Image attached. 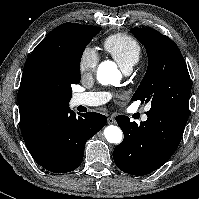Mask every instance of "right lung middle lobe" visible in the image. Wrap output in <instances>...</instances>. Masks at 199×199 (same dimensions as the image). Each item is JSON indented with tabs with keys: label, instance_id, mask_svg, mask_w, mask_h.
<instances>
[{
	"label": "right lung middle lobe",
	"instance_id": "1",
	"mask_svg": "<svg viewBox=\"0 0 199 199\" xmlns=\"http://www.w3.org/2000/svg\"><path fill=\"white\" fill-rule=\"evenodd\" d=\"M101 31V27L68 23L58 31L36 78V88L45 95L70 101L71 85L80 82V61L87 44Z\"/></svg>",
	"mask_w": 199,
	"mask_h": 199
}]
</instances>
